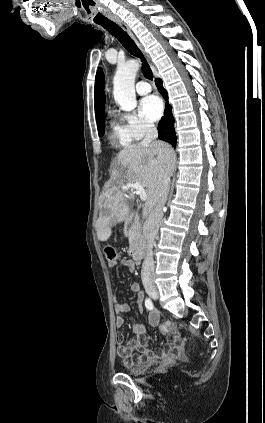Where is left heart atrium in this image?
I'll return each mask as SVG.
<instances>
[{"instance_id": "1", "label": "left heart atrium", "mask_w": 265, "mask_h": 423, "mask_svg": "<svg viewBox=\"0 0 265 423\" xmlns=\"http://www.w3.org/2000/svg\"><path fill=\"white\" fill-rule=\"evenodd\" d=\"M140 112L146 119L157 121L162 116L163 103L156 95L146 96L140 101Z\"/></svg>"}]
</instances>
